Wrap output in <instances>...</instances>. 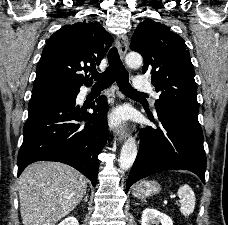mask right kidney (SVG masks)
Returning <instances> with one entry per match:
<instances>
[{
	"label": "right kidney",
	"mask_w": 228,
	"mask_h": 225,
	"mask_svg": "<svg viewBox=\"0 0 228 225\" xmlns=\"http://www.w3.org/2000/svg\"><path fill=\"white\" fill-rule=\"evenodd\" d=\"M59 225H79V223L75 217H67V219H64Z\"/></svg>",
	"instance_id": "obj_1"
}]
</instances>
